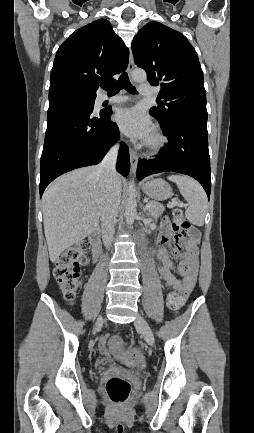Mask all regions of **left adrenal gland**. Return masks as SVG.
<instances>
[{"instance_id":"1","label":"left adrenal gland","mask_w":254,"mask_h":433,"mask_svg":"<svg viewBox=\"0 0 254 433\" xmlns=\"http://www.w3.org/2000/svg\"><path fill=\"white\" fill-rule=\"evenodd\" d=\"M143 211H144V213H147V212H146V208H143Z\"/></svg>"}]
</instances>
